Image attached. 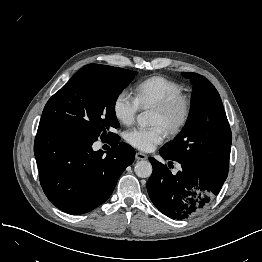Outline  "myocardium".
<instances>
[{"mask_svg":"<svg viewBox=\"0 0 262 262\" xmlns=\"http://www.w3.org/2000/svg\"><path fill=\"white\" fill-rule=\"evenodd\" d=\"M153 109L166 118V131L175 135L187 126L192 114V101L187 95L179 94L163 100Z\"/></svg>","mask_w":262,"mask_h":262,"instance_id":"1","label":"myocardium"}]
</instances>
